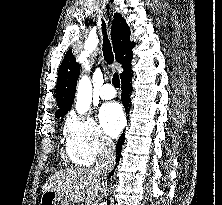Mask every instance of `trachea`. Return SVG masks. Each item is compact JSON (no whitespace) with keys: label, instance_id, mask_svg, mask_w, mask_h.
<instances>
[{"label":"trachea","instance_id":"obj_1","mask_svg":"<svg viewBox=\"0 0 222 205\" xmlns=\"http://www.w3.org/2000/svg\"><path fill=\"white\" fill-rule=\"evenodd\" d=\"M102 33H103V56L106 60L107 64L111 65L114 61V56L112 52L111 43L108 39V35L106 33V25L105 22L102 20ZM112 84L116 88H120V79L118 73H115L112 78Z\"/></svg>","mask_w":222,"mask_h":205}]
</instances>
